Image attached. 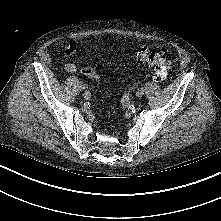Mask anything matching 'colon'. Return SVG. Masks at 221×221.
Instances as JSON below:
<instances>
[{
	"label": "colon",
	"instance_id": "5ec220e1",
	"mask_svg": "<svg viewBox=\"0 0 221 221\" xmlns=\"http://www.w3.org/2000/svg\"><path fill=\"white\" fill-rule=\"evenodd\" d=\"M137 56L140 63L149 66L153 70L155 80L160 81L166 78L171 62L163 49H150L143 46L138 50ZM82 72L88 78L94 81L98 80L97 73L92 67H85Z\"/></svg>",
	"mask_w": 221,
	"mask_h": 221
}]
</instances>
